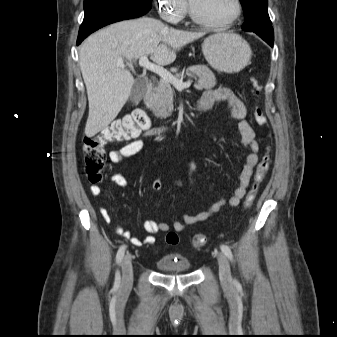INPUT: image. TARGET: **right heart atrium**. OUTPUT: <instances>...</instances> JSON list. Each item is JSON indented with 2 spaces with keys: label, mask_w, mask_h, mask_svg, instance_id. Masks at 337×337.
<instances>
[{
  "label": "right heart atrium",
  "mask_w": 337,
  "mask_h": 337,
  "mask_svg": "<svg viewBox=\"0 0 337 337\" xmlns=\"http://www.w3.org/2000/svg\"><path fill=\"white\" fill-rule=\"evenodd\" d=\"M161 17L170 23H178L187 11L185 0H155Z\"/></svg>",
  "instance_id": "d8ad5b80"
}]
</instances>
